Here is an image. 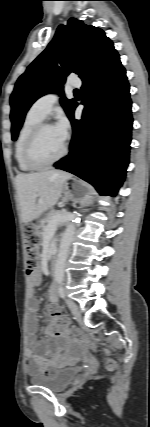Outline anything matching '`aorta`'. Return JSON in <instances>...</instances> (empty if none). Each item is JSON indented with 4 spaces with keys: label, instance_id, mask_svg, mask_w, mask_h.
Returning a JSON list of instances; mask_svg holds the SVG:
<instances>
[{
    "label": "aorta",
    "instance_id": "obj_1",
    "mask_svg": "<svg viewBox=\"0 0 150 427\" xmlns=\"http://www.w3.org/2000/svg\"><path fill=\"white\" fill-rule=\"evenodd\" d=\"M75 234V223L71 222L68 224L65 232L62 235L57 260L55 264L54 279L61 282L64 278V272L66 267V261Z\"/></svg>",
    "mask_w": 150,
    "mask_h": 427
}]
</instances>
